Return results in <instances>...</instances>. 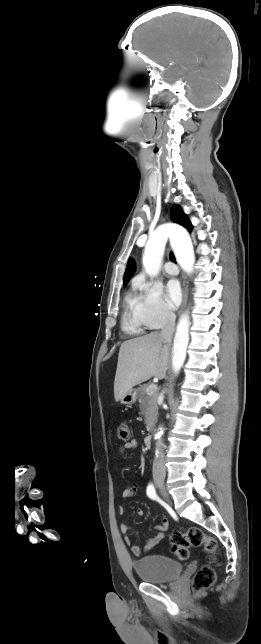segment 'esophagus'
Listing matches in <instances>:
<instances>
[{
	"label": "esophagus",
	"instance_id": "obj_1",
	"mask_svg": "<svg viewBox=\"0 0 261 644\" xmlns=\"http://www.w3.org/2000/svg\"><path fill=\"white\" fill-rule=\"evenodd\" d=\"M187 294H188V286H187V283L184 282V290H183V303L184 304L187 301Z\"/></svg>",
	"mask_w": 261,
	"mask_h": 644
}]
</instances>
